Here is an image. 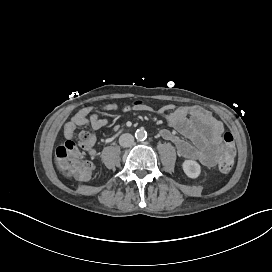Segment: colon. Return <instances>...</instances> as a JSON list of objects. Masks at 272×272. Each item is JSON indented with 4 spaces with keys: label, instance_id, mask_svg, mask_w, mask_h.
Segmentation results:
<instances>
[{
    "label": "colon",
    "instance_id": "colon-1",
    "mask_svg": "<svg viewBox=\"0 0 272 272\" xmlns=\"http://www.w3.org/2000/svg\"><path fill=\"white\" fill-rule=\"evenodd\" d=\"M136 101L134 104H140ZM86 115L84 110H81L76 118L81 120ZM74 127L79 125L77 120L72 122ZM75 130L67 128V138L64 143L56 147L55 155L59 161V171L62 174L73 173V181L76 184H83L86 181V176L90 173V165L87 162H82L81 156L77 151V145L74 140ZM80 146L83 149H91L94 146V139L88 136L87 132L80 134ZM223 144L214 155L219 156V170L221 172H229L235 160V143L233 135L230 132H225L222 136Z\"/></svg>",
    "mask_w": 272,
    "mask_h": 272
}]
</instances>
